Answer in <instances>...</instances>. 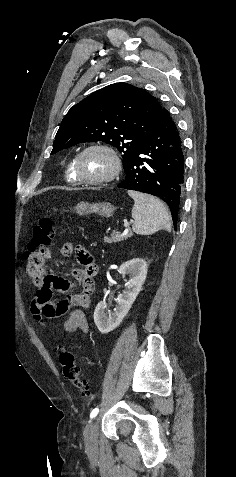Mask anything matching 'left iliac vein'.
Wrapping results in <instances>:
<instances>
[{
	"mask_svg": "<svg viewBox=\"0 0 236 477\" xmlns=\"http://www.w3.org/2000/svg\"><path fill=\"white\" fill-rule=\"evenodd\" d=\"M94 421L91 424H88L85 427L84 430V441H85V447L88 450H94L98 447V428L97 426L100 424L102 421L101 414L97 413L94 416Z\"/></svg>",
	"mask_w": 236,
	"mask_h": 477,
	"instance_id": "4c4485c4",
	"label": "left iliac vein"
}]
</instances>
